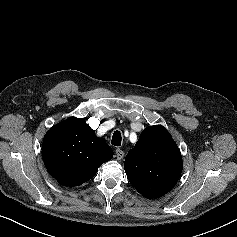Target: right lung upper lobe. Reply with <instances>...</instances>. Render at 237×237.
Listing matches in <instances>:
<instances>
[{"mask_svg": "<svg viewBox=\"0 0 237 237\" xmlns=\"http://www.w3.org/2000/svg\"><path fill=\"white\" fill-rule=\"evenodd\" d=\"M43 160L63 186H77L95 176L113 151L83 118L70 117L52 127L43 139Z\"/></svg>", "mask_w": 237, "mask_h": 237, "instance_id": "right-lung-upper-lobe-1", "label": "right lung upper lobe"}]
</instances>
